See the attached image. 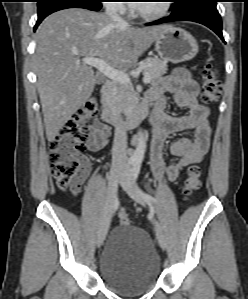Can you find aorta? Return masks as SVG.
Wrapping results in <instances>:
<instances>
[{"label":"aorta","mask_w":248,"mask_h":299,"mask_svg":"<svg viewBox=\"0 0 248 299\" xmlns=\"http://www.w3.org/2000/svg\"><path fill=\"white\" fill-rule=\"evenodd\" d=\"M146 142L144 133L140 130L137 135V146L132 155V160L135 162H142L145 154Z\"/></svg>","instance_id":"762f6f07"}]
</instances>
